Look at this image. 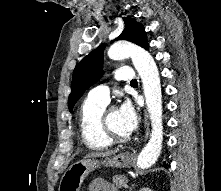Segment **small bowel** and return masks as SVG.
<instances>
[{
	"label": "small bowel",
	"mask_w": 221,
	"mask_h": 191,
	"mask_svg": "<svg viewBox=\"0 0 221 191\" xmlns=\"http://www.w3.org/2000/svg\"><path fill=\"white\" fill-rule=\"evenodd\" d=\"M89 191H117L116 188L107 180L96 179L89 184Z\"/></svg>",
	"instance_id": "1"
}]
</instances>
